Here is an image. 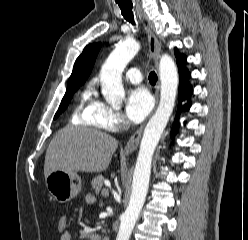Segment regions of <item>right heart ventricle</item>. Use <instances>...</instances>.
<instances>
[{"mask_svg":"<svg viewBox=\"0 0 248 240\" xmlns=\"http://www.w3.org/2000/svg\"><path fill=\"white\" fill-rule=\"evenodd\" d=\"M98 101L94 97L93 88L87 87L80 96L75 110V119L79 124L93 125L92 115Z\"/></svg>","mask_w":248,"mask_h":240,"instance_id":"1","label":"right heart ventricle"}]
</instances>
